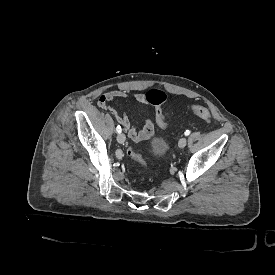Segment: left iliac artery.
Listing matches in <instances>:
<instances>
[{
  "label": "left iliac artery",
  "mask_w": 275,
  "mask_h": 275,
  "mask_svg": "<svg viewBox=\"0 0 275 275\" xmlns=\"http://www.w3.org/2000/svg\"><path fill=\"white\" fill-rule=\"evenodd\" d=\"M189 134H190L189 130H186L185 133H184L185 136H188Z\"/></svg>",
  "instance_id": "obj_1"
}]
</instances>
